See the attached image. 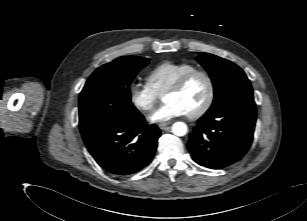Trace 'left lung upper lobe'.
Returning a JSON list of instances; mask_svg holds the SVG:
<instances>
[{"mask_svg": "<svg viewBox=\"0 0 307 221\" xmlns=\"http://www.w3.org/2000/svg\"><path fill=\"white\" fill-rule=\"evenodd\" d=\"M196 60L207 70L214 86L215 98L209 110L234 100L254 98L250 81L239 66L208 53H201Z\"/></svg>", "mask_w": 307, "mask_h": 221, "instance_id": "obj_1", "label": "left lung upper lobe"}]
</instances>
